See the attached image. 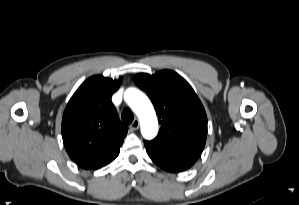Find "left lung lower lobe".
<instances>
[{"mask_svg":"<svg viewBox=\"0 0 299 205\" xmlns=\"http://www.w3.org/2000/svg\"><path fill=\"white\" fill-rule=\"evenodd\" d=\"M151 160L168 172H181L190 168L200 157L205 144L184 139L145 141Z\"/></svg>","mask_w":299,"mask_h":205,"instance_id":"obj_1","label":"left lung lower lobe"}]
</instances>
